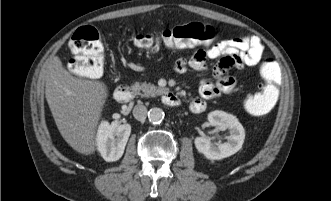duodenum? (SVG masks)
Returning <instances> with one entry per match:
<instances>
[{
	"mask_svg": "<svg viewBox=\"0 0 331 201\" xmlns=\"http://www.w3.org/2000/svg\"><path fill=\"white\" fill-rule=\"evenodd\" d=\"M134 95V90L129 85H120L116 88L114 92V98L119 103H125L128 102ZM162 101L164 104L168 106H178L180 104L179 97L171 92V91H164L162 93Z\"/></svg>",
	"mask_w": 331,
	"mask_h": 201,
	"instance_id": "410a0bca",
	"label": "duodenum"
}]
</instances>
